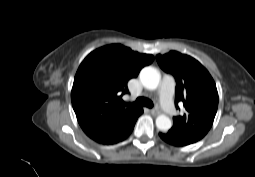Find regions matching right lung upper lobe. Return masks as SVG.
I'll return each mask as SVG.
<instances>
[{"label": "right lung upper lobe", "mask_w": 255, "mask_h": 177, "mask_svg": "<svg viewBox=\"0 0 255 177\" xmlns=\"http://www.w3.org/2000/svg\"><path fill=\"white\" fill-rule=\"evenodd\" d=\"M153 55L141 54L120 44L91 52L74 78L71 100L83 131L91 136L139 107L123 102L127 82L153 62Z\"/></svg>", "instance_id": "1"}]
</instances>
